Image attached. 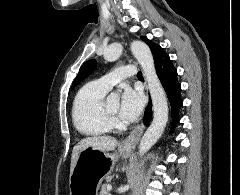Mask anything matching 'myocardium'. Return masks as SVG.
Listing matches in <instances>:
<instances>
[{
    "label": "myocardium",
    "instance_id": "myocardium-1",
    "mask_svg": "<svg viewBox=\"0 0 240 195\" xmlns=\"http://www.w3.org/2000/svg\"><path fill=\"white\" fill-rule=\"evenodd\" d=\"M103 110H104V114L109 122V125L111 127L121 128L124 125V121L121 119L119 114H115L110 110L107 99L104 101Z\"/></svg>",
    "mask_w": 240,
    "mask_h": 195
}]
</instances>
